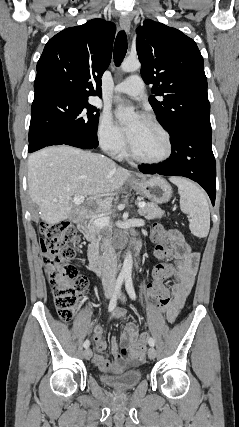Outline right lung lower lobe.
I'll return each instance as SVG.
<instances>
[{"label": "right lung lower lobe", "instance_id": "1", "mask_svg": "<svg viewBox=\"0 0 239 427\" xmlns=\"http://www.w3.org/2000/svg\"><path fill=\"white\" fill-rule=\"evenodd\" d=\"M60 144H65V143H60V142H56V143H50V144H48V145H46V146H51V145H60ZM67 145H71V146H75V147H78V148H82V149H91V148H96L97 146H95V147H90V146H87V145H76V144H67ZM45 147V146H44ZM43 148V147H42ZM41 149V148H40ZM36 150H39V149H34V150H28V152L29 153H31V152H34V151H36Z\"/></svg>", "mask_w": 239, "mask_h": 427}]
</instances>
